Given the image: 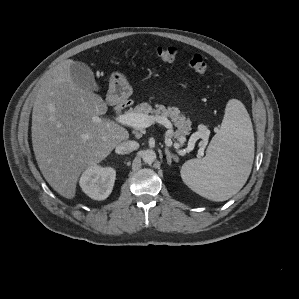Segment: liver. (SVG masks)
<instances>
[{
  "mask_svg": "<svg viewBox=\"0 0 299 299\" xmlns=\"http://www.w3.org/2000/svg\"><path fill=\"white\" fill-rule=\"evenodd\" d=\"M71 59L56 65L44 79L32 112V145L38 167L61 196L73 199L80 174L104 160L128 131L101 118L107 104L80 88L70 76Z\"/></svg>",
  "mask_w": 299,
  "mask_h": 299,
  "instance_id": "obj_1",
  "label": "liver"
}]
</instances>
